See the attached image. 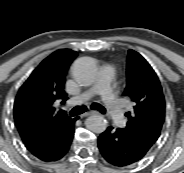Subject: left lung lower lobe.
<instances>
[{
	"label": "left lung lower lobe",
	"mask_w": 184,
	"mask_h": 173,
	"mask_svg": "<svg viewBox=\"0 0 184 173\" xmlns=\"http://www.w3.org/2000/svg\"><path fill=\"white\" fill-rule=\"evenodd\" d=\"M98 147L108 162L119 166L129 165L142 159L149 150L121 128L116 130L108 128L100 135Z\"/></svg>",
	"instance_id": "0a47b994"
}]
</instances>
